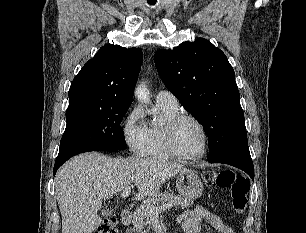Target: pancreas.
<instances>
[{
  "mask_svg": "<svg viewBox=\"0 0 306 233\" xmlns=\"http://www.w3.org/2000/svg\"><path fill=\"white\" fill-rule=\"evenodd\" d=\"M159 203H170L174 205L176 209H183L192 205L194 201L169 192L154 194L145 204L134 211L133 229L131 230V233H150L152 228V215L146 212L144 206H155Z\"/></svg>",
  "mask_w": 306,
  "mask_h": 233,
  "instance_id": "1",
  "label": "pancreas"
}]
</instances>
